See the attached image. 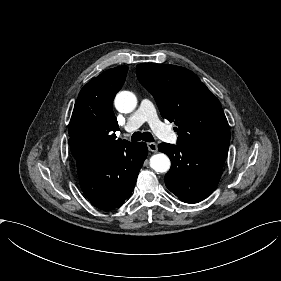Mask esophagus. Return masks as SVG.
Segmentation results:
<instances>
[{"instance_id":"1","label":"esophagus","mask_w":281,"mask_h":281,"mask_svg":"<svg viewBox=\"0 0 281 281\" xmlns=\"http://www.w3.org/2000/svg\"><path fill=\"white\" fill-rule=\"evenodd\" d=\"M147 147H148V150H150L151 152H157V150H158L157 144L153 143V142L147 143Z\"/></svg>"}]
</instances>
